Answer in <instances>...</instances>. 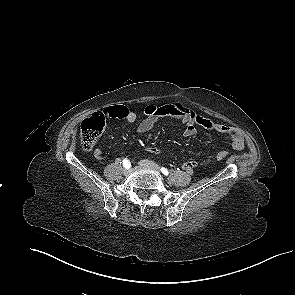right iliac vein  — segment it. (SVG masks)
<instances>
[{"instance_id":"obj_1","label":"right iliac vein","mask_w":295,"mask_h":295,"mask_svg":"<svg viewBox=\"0 0 295 295\" xmlns=\"http://www.w3.org/2000/svg\"><path fill=\"white\" fill-rule=\"evenodd\" d=\"M123 172L125 175H128L130 173V170L125 168Z\"/></svg>"}]
</instances>
